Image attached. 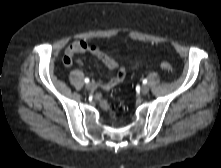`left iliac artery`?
<instances>
[{
	"label": "left iliac artery",
	"mask_w": 221,
	"mask_h": 168,
	"mask_svg": "<svg viewBox=\"0 0 221 168\" xmlns=\"http://www.w3.org/2000/svg\"><path fill=\"white\" fill-rule=\"evenodd\" d=\"M143 84H147V79H144V80H143Z\"/></svg>",
	"instance_id": "44dca946"
}]
</instances>
